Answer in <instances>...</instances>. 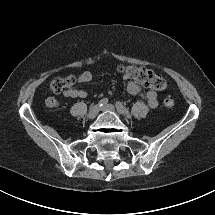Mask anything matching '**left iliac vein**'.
<instances>
[{
  "instance_id": "obj_1",
  "label": "left iliac vein",
  "mask_w": 215,
  "mask_h": 215,
  "mask_svg": "<svg viewBox=\"0 0 215 215\" xmlns=\"http://www.w3.org/2000/svg\"><path fill=\"white\" fill-rule=\"evenodd\" d=\"M102 111H110V112H114L115 114H117L118 116H121L123 113L116 109L113 105L111 104H108V105H105L101 108Z\"/></svg>"
}]
</instances>
